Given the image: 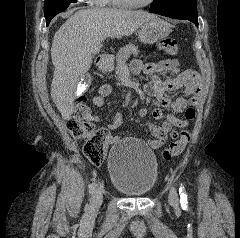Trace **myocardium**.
<instances>
[{
	"label": "myocardium",
	"mask_w": 240,
	"mask_h": 238,
	"mask_svg": "<svg viewBox=\"0 0 240 238\" xmlns=\"http://www.w3.org/2000/svg\"><path fill=\"white\" fill-rule=\"evenodd\" d=\"M114 2L116 5L124 8H142V7L149 6L154 2V0H147L144 3H135L127 0H114Z\"/></svg>",
	"instance_id": "f54148a6"
}]
</instances>
